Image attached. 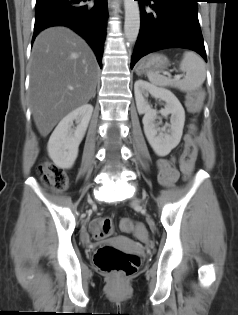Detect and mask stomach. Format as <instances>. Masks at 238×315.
I'll use <instances>...</instances> for the list:
<instances>
[{
	"label": "stomach",
	"instance_id": "obj_1",
	"mask_svg": "<svg viewBox=\"0 0 238 315\" xmlns=\"http://www.w3.org/2000/svg\"><path fill=\"white\" fill-rule=\"evenodd\" d=\"M169 61L166 56L162 54H151L143 58L136 68L137 74H144L148 72L159 73L167 69Z\"/></svg>",
	"mask_w": 238,
	"mask_h": 315
}]
</instances>
